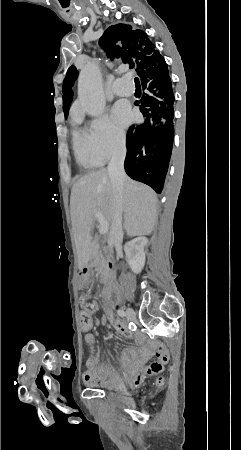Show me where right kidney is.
Instances as JSON below:
<instances>
[{"label": "right kidney", "mask_w": 241, "mask_h": 450, "mask_svg": "<svg viewBox=\"0 0 241 450\" xmlns=\"http://www.w3.org/2000/svg\"><path fill=\"white\" fill-rule=\"evenodd\" d=\"M145 246H148L147 238H134L124 246L127 262L134 274H140L145 266Z\"/></svg>", "instance_id": "obj_1"}]
</instances>
